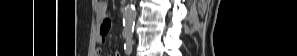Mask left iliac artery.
<instances>
[{
    "label": "left iliac artery",
    "mask_w": 297,
    "mask_h": 56,
    "mask_svg": "<svg viewBox=\"0 0 297 56\" xmlns=\"http://www.w3.org/2000/svg\"><path fill=\"white\" fill-rule=\"evenodd\" d=\"M132 46H133V42H132V40L129 38V39L127 40V43L124 45V49H125V51H126V53H127L128 55H130L131 52H132Z\"/></svg>",
    "instance_id": "obj_1"
}]
</instances>
